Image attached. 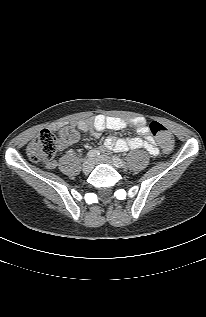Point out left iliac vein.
Wrapping results in <instances>:
<instances>
[{
	"label": "left iliac vein",
	"instance_id": "4c4485c4",
	"mask_svg": "<svg viewBox=\"0 0 206 317\" xmlns=\"http://www.w3.org/2000/svg\"><path fill=\"white\" fill-rule=\"evenodd\" d=\"M94 163L95 164H99V163H107L111 166H116L115 162L108 156H99L97 158L94 159Z\"/></svg>",
	"mask_w": 206,
	"mask_h": 317
}]
</instances>
